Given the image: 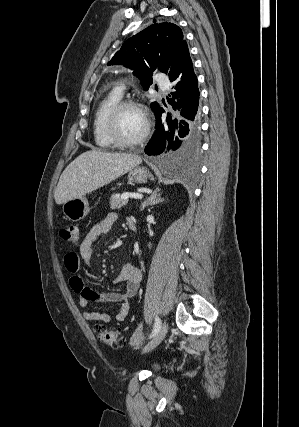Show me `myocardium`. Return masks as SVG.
<instances>
[{"label":"myocardium","instance_id":"myocardium-1","mask_svg":"<svg viewBox=\"0 0 299 427\" xmlns=\"http://www.w3.org/2000/svg\"><path fill=\"white\" fill-rule=\"evenodd\" d=\"M126 108H134L138 110L144 117L145 128L140 136L132 140H126L121 137L118 131V118L121 112ZM105 131L109 140L117 147L129 148L143 143L150 133V122L144 110L139 103L132 100L119 101L109 112L105 122Z\"/></svg>","mask_w":299,"mask_h":427}]
</instances>
